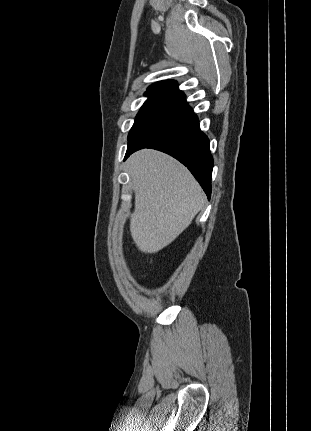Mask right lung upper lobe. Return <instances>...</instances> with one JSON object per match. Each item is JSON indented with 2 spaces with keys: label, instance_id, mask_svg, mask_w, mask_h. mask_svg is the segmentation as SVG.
<instances>
[{
  "label": "right lung upper lobe",
  "instance_id": "cb5924a9",
  "mask_svg": "<svg viewBox=\"0 0 311 431\" xmlns=\"http://www.w3.org/2000/svg\"><path fill=\"white\" fill-rule=\"evenodd\" d=\"M148 91L175 95L181 99L185 98L184 93L178 89L177 82L174 80L156 82L148 87Z\"/></svg>",
  "mask_w": 311,
  "mask_h": 431
}]
</instances>
